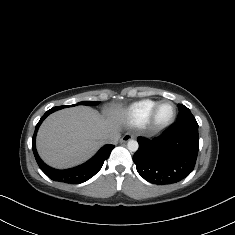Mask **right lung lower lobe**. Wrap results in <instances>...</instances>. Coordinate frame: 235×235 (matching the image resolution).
I'll list each match as a JSON object with an SVG mask.
<instances>
[{"label": "right lung lower lobe", "mask_w": 235, "mask_h": 235, "mask_svg": "<svg viewBox=\"0 0 235 235\" xmlns=\"http://www.w3.org/2000/svg\"><path fill=\"white\" fill-rule=\"evenodd\" d=\"M55 110H48L40 119L38 124L35 127V132L32 138V149L35 156V159L40 167V169L52 180L65 182L70 184H79L89 180L93 177L103 166L104 161L109 157L112 149L115 147L114 145L107 144L102 147L95 156H93L86 163L77 166L75 168L66 169V170H58L49 167L46 165L41 158L39 157L36 147H35V138L38 131V128L42 121Z\"/></svg>", "instance_id": "right-lung-lower-lobe-1"}]
</instances>
